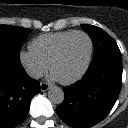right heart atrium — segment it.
I'll use <instances>...</instances> for the list:
<instances>
[{
	"label": "right heart atrium",
	"mask_w": 128,
	"mask_h": 128,
	"mask_svg": "<svg viewBox=\"0 0 128 128\" xmlns=\"http://www.w3.org/2000/svg\"><path fill=\"white\" fill-rule=\"evenodd\" d=\"M19 60L26 72L33 78L41 77L48 68V65L38 58L31 50L20 51Z\"/></svg>",
	"instance_id": "d8ad5b80"
}]
</instances>
